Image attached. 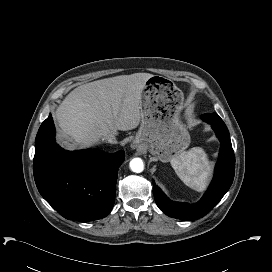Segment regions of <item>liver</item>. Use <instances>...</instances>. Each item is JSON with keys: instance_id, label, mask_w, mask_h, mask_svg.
<instances>
[{"instance_id": "obj_1", "label": "liver", "mask_w": 272, "mask_h": 272, "mask_svg": "<svg viewBox=\"0 0 272 272\" xmlns=\"http://www.w3.org/2000/svg\"><path fill=\"white\" fill-rule=\"evenodd\" d=\"M153 75L134 73L93 81L75 88L56 110L69 149L92 146L118 130L136 128L141 121L140 101L146 81Z\"/></svg>"}]
</instances>
